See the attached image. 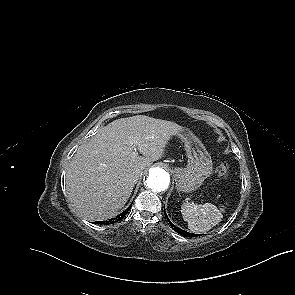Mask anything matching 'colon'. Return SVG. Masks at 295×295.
I'll return each mask as SVG.
<instances>
[{
  "mask_svg": "<svg viewBox=\"0 0 295 295\" xmlns=\"http://www.w3.org/2000/svg\"><path fill=\"white\" fill-rule=\"evenodd\" d=\"M228 171H229V168H228V165L226 163H222L218 166L217 168V177L218 179H224L227 177L228 175Z\"/></svg>",
  "mask_w": 295,
  "mask_h": 295,
  "instance_id": "5ec220e1",
  "label": "colon"
}]
</instances>
